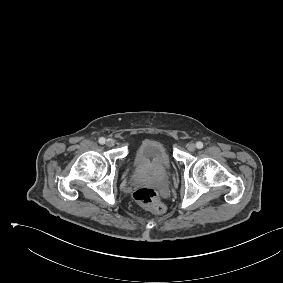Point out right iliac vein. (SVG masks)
I'll use <instances>...</instances> for the list:
<instances>
[{"instance_id": "63e3f726", "label": "right iliac vein", "mask_w": 283, "mask_h": 283, "mask_svg": "<svg viewBox=\"0 0 283 283\" xmlns=\"http://www.w3.org/2000/svg\"><path fill=\"white\" fill-rule=\"evenodd\" d=\"M106 145H107L108 147H113V146H114V141H113V140H108V141L106 142Z\"/></svg>"}]
</instances>
